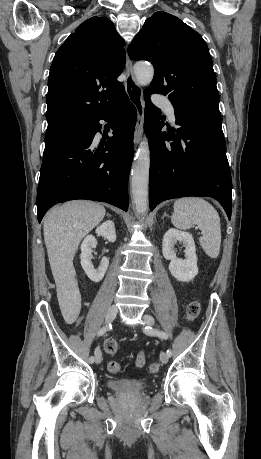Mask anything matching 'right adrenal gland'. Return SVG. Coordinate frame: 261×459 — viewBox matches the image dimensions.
Wrapping results in <instances>:
<instances>
[{"mask_svg":"<svg viewBox=\"0 0 261 459\" xmlns=\"http://www.w3.org/2000/svg\"><path fill=\"white\" fill-rule=\"evenodd\" d=\"M107 216H108L109 218H111V215H110L109 213H107Z\"/></svg>","mask_w":261,"mask_h":459,"instance_id":"2a0ac1e0","label":"right adrenal gland"}]
</instances>
